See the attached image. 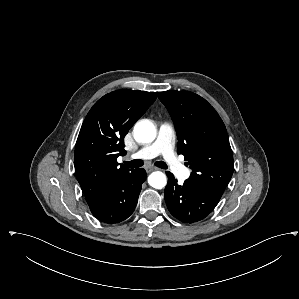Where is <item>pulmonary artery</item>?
<instances>
[{"label":"pulmonary artery","mask_w":299,"mask_h":299,"mask_svg":"<svg viewBox=\"0 0 299 299\" xmlns=\"http://www.w3.org/2000/svg\"><path fill=\"white\" fill-rule=\"evenodd\" d=\"M174 138L173 127L168 123H163L159 127L156 140L139 149L130 157L133 159H151L157 155H162L172 172L181 179H186L189 177L190 171L182 165L174 153Z\"/></svg>","instance_id":"1"}]
</instances>
